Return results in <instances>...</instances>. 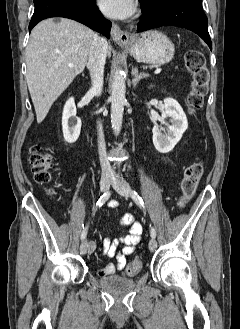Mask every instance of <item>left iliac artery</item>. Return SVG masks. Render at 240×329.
Instances as JSON below:
<instances>
[{"label": "left iliac artery", "mask_w": 240, "mask_h": 329, "mask_svg": "<svg viewBox=\"0 0 240 329\" xmlns=\"http://www.w3.org/2000/svg\"><path fill=\"white\" fill-rule=\"evenodd\" d=\"M131 195H132L133 200L136 202V204L139 207H143L144 208L143 199L137 194V192L136 191H132L131 192ZM150 234H151V237L152 238H155L156 237V231H155V229L152 226L150 228Z\"/></svg>", "instance_id": "left-iliac-artery-1"}]
</instances>
